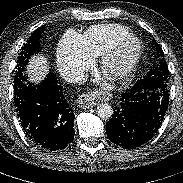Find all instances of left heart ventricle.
Masks as SVG:
<instances>
[{
	"instance_id": "1",
	"label": "left heart ventricle",
	"mask_w": 183,
	"mask_h": 183,
	"mask_svg": "<svg viewBox=\"0 0 183 183\" xmlns=\"http://www.w3.org/2000/svg\"><path fill=\"white\" fill-rule=\"evenodd\" d=\"M133 51L132 48H128L125 52V56H128Z\"/></svg>"
}]
</instances>
